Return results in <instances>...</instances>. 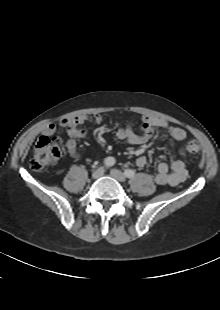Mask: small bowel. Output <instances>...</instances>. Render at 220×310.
<instances>
[{
  "label": "small bowel",
  "mask_w": 220,
  "mask_h": 310,
  "mask_svg": "<svg viewBox=\"0 0 220 310\" xmlns=\"http://www.w3.org/2000/svg\"><path fill=\"white\" fill-rule=\"evenodd\" d=\"M91 120L96 123H101L102 116L98 113L94 114L93 116L82 114L61 119L58 122V125L65 128L67 131L69 138L65 143V147L68 154L74 159L79 158L77 139L87 136V131L84 126ZM56 128L57 126L55 124H48L44 128L43 134L45 136H51L55 133ZM157 128L167 129L170 137L174 142H182L187 136L186 131L183 128L176 125H171L162 118L144 116L142 118L141 132L137 133L133 130L131 125H127L126 127L121 128L116 132V137L118 140L127 142L132 145H143L153 138ZM184 156L185 153L180 148L177 151V156L175 155L169 164L165 162L158 163L156 167V174L154 176L155 183L158 185L170 186H177L183 183L188 176ZM146 164L147 159L145 156H139L136 159V165L138 167L143 168L146 166Z\"/></svg>",
  "instance_id": "obj_1"
}]
</instances>
